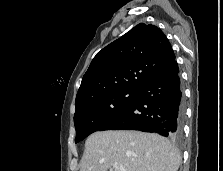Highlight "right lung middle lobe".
I'll list each match as a JSON object with an SVG mask.
<instances>
[{
	"label": "right lung middle lobe",
	"mask_w": 223,
	"mask_h": 171,
	"mask_svg": "<svg viewBox=\"0 0 223 171\" xmlns=\"http://www.w3.org/2000/svg\"><path fill=\"white\" fill-rule=\"evenodd\" d=\"M136 95V91L114 92L76 109L74 115L75 143L82 141L116 118L132 103Z\"/></svg>",
	"instance_id": "dd1d6c3e"
}]
</instances>
